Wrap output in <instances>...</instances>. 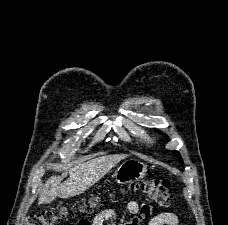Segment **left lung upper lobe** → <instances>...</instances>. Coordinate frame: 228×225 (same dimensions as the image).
I'll use <instances>...</instances> for the list:
<instances>
[{"mask_svg": "<svg viewBox=\"0 0 228 225\" xmlns=\"http://www.w3.org/2000/svg\"><path fill=\"white\" fill-rule=\"evenodd\" d=\"M158 133H160L161 134V132L160 131H158ZM164 136L165 137H167L165 134H164ZM176 155H179V152H177V151H173ZM179 160H180V162L181 163H183V161H182V158H181V156L179 155Z\"/></svg>", "mask_w": 228, "mask_h": 225, "instance_id": "obj_1", "label": "left lung upper lobe"}]
</instances>
